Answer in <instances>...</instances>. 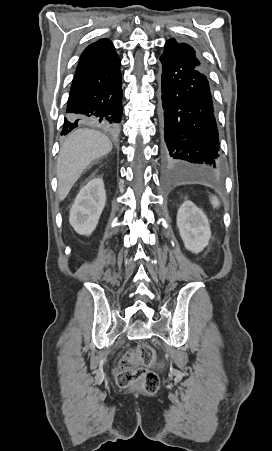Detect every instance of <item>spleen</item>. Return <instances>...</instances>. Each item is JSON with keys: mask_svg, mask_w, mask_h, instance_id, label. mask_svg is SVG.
<instances>
[{"mask_svg": "<svg viewBox=\"0 0 272 451\" xmlns=\"http://www.w3.org/2000/svg\"><path fill=\"white\" fill-rule=\"evenodd\" d=\"M210 202H211L213 208H218V206H220V202H219L217 196H210Z\"/></svg>", "mask_w": 272, "mask_h": 451, "instance_id": "obj_1", "label": "spleen"}]
</instances>
